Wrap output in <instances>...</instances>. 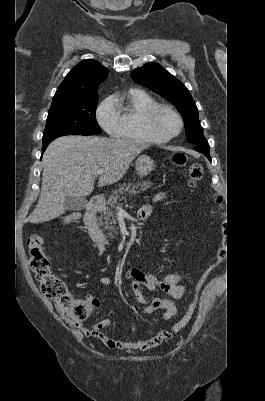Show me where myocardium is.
I'll use <instances>...</instances> for the list:
<instances>
[{
    "instance_id": "f54148a6",
    "label": "myocardium",
    "mask_w": 265,
    "mask_h": 401,
    "mask_svg": "<svg viewBox=\"0 0 265 401\" xmlns=\"http://www.w3.org/2000/svg\"><path fill=\"white\" fill-rule=\"evenodd\" d=\"M159 112H167V113L173 115L175 118H177V120L179 122V131L177 132V134H175V135H173V136H171L169 138L163 139V140L158 139L154 135V132H153V120H154L155 116ZM143 125H144V128H145L146 132L150 136L152 142H154V143H166V142H169V141H172V140L176 139L177 137H179L182 134L183 128H184V121H183L182 116L176 110H174L171 107L166 106V105L157 104L156 106L150 108L145 113L144 118H143Z\"/></svg>"
}]
</instances>
